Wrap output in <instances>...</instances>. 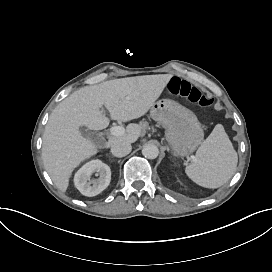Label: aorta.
Returning a JSON list of instances; mask_svg holds the SVG:
<instances>
[{
    "label": "aorta",
    "mask_w": 272,
    "mask_h": 272,
    "mask_svg": "<svg viewBox=\"0 0 272 272\" xmlns=\"http://www.w3.org/2000/svg\"><path fill=\"white\" fill-rule=\"evenodd\" d=\"M142 154L148 159H156L159 155V148L153 144H147L142 149Z\"/></svg>",
    "instance_id": "1"
}]
</instances>
